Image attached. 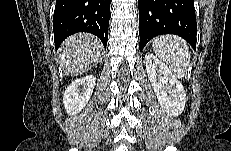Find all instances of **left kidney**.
<instances>
[{
    "mask_svg": "<svg viewBox=\"0 0 231 151\" xmlns=\"http://www.w3.org/2000/svg\"><path fill=\"white\" fill-rule=\"evenodd\" d=\"M148 77L161 108L170 116H179L185 107L186 92L171 70L156 56L145 55Z\"/></svg>",
    "mask_w": 231,
    "mask_h": 151,
    "instance_id": "obj_1",
    "label": "left kidney"
}]
</instances>
